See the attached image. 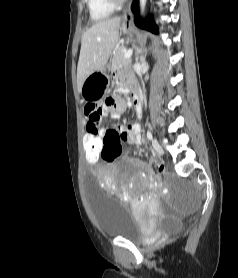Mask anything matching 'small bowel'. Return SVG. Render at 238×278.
I'll list each match as a JSON object with an SVG mask.
<instances>
[{"label": "small bowel", "instance_id": "1", "mask_svg": "<svg viewBox=\"0 0 238 278\" xmlns=\"http://www.w3.org/2000/svg\"><path fill=\"white\" fill-rule=\"evenodd\" d=\"M118 79L122 83H130V80L124 75H118ZM125 108V103L118 100H105V104H89L86 107L85 137H105L104 144H112L117 141L119 143L126 142L132 145H139L141 143V134L138 122L120 126L118 129L100 127L105 116L109 115L111 118L117 119L123 114ZM137 115L139 116L140 113H137ZM140 165L145 166L143 163H140Z\"/></svg>", "mask_w": 238, "mask_h": 278}]
</instances>
